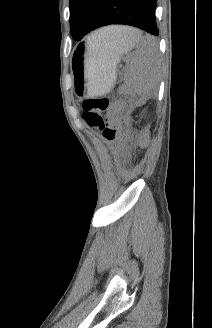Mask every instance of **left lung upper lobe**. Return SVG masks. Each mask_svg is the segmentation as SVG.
Listing matches in <instances>:
<instances>
[{
	"mask_svg": "<svg viewBox=\"0 0 212 328\" xmlns=\"http://www.w3.org/2000/svg\"><path fill=\"white\" fill-rule=\"evenodd\" d=\"M103 0H70V30L74 40H81L94 23Z\"/></svg>",
	"mask_w": 212,
	"mask_h": 328,
	"instance_id": "1",
	"label": "left lung upper lobe"
}]
</instances>
